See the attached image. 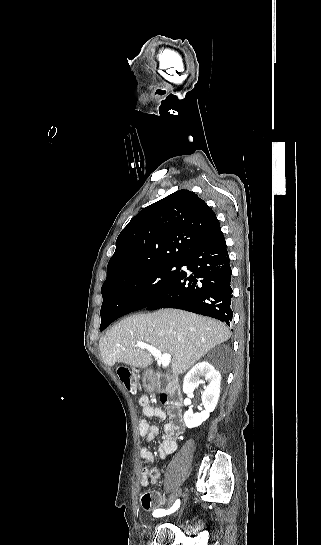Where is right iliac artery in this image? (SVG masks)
<instances>
[{
    "instance_id": "obj_1",
    "label": "right iliac artery",
    "mask_w": 321,
    "mask_h": 545,
    "mask_svg": "<svg viewBox=\"0 0 321 545\" xmlns=\"http://www.w3.org/2000/svg\"><path fill=\"white\" fill-rule=\"evenodd\" d=\"M179 506H180V501L178 500V501L175 502V504L169 510L159 509V510L154 511L153 516L160 517V516H164V515H167V514H171V513L175 512L179 508Z\"/></svg>"
}]
</instances>
